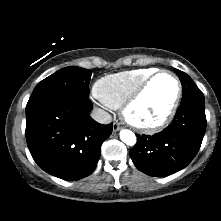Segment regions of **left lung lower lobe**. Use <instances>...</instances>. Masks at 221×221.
I'll use <instances>...</instances> for the list:
<instances>
[{"label": "left lung lower lobe", "instance_id": "left-lung-lower-lobe-1", "mask_svg": "<svg viewBox=\"0 0 221 221\" xmlns=\"http://www.w3.org/2000/svg\"><path fill=\"white\" fill-rule=\"evenodd\" d=\"M205 129V101L189 100L180 104L172 123L163 131L139 136L130 157L147 175H171L185 168L196 156Z\"/></svg>", "mask_w": 221, "mask_h": 221}]
</instances>
